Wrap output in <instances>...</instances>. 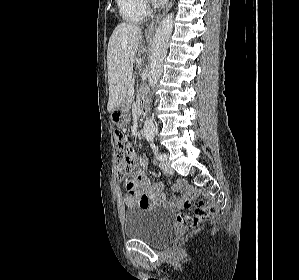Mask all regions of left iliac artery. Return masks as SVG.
<instances>
[{"mask_svg":"<svg viewBox=\"0 0 299 280\" xmlns=\"http://www.w3.org/2000/svg\"><path fill=\"white\" fill-rule=\"evenodd\" d=\"M153 148L157 151L156 158L160 161L163 160L165 158V154L158 152V147H156L154 144H153Z\"/></svg>","mask_w":299,"mask_h":280,"instance_id":"1","label":"left iliac artery"}]
</instances>
